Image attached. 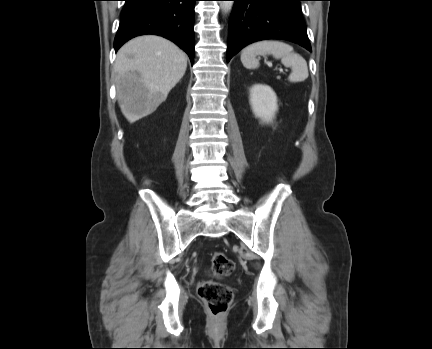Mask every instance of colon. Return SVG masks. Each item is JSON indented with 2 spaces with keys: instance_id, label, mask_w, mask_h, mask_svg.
Segmentation results:
<instances>
[{
  "instance_id": "5ec220e1",
  "label": "colon",
  "mask_w": 432,
  "mask_h": 349,
  "mask_svg": "<svg viewBox=\"0 0 432 349\" xmlns=\"http://www.w3.org/2000/svg\"><path fill=\"white\" fill-rule=\"evenodd\" d=\"M235 269V264L226 254L215 252L212 255V271L216 276L230 275ZM199 295L215 316L224 314L233 299L232 289L224 284L207 281L199 288Z\"/></svg>"
}]
</instances>
